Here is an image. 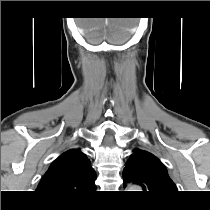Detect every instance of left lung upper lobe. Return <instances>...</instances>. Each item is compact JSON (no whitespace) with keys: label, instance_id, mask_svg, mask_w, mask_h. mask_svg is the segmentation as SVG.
I'll use <instances>...</instances> for the list:
<instances>
[{"label":"left lung upper lobe","instance_id":"1","mask_svg":"<svg viewBox=\"0 0 210 210\" xmlns=\"http://www.w3.org/2000/svg\"><path fill=\"white\" fill-rule=\"evenodd\" d=\"M133 182L152 196L176 193L175 183L168 175L165 165L150 152L134 149L124 168V183Z\"/></svg>","mask_w":210,"mask_h":210}]
</instances>
